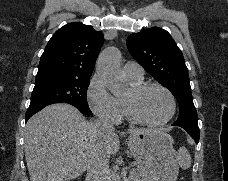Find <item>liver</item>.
I'll use <instances>...</instances> for the list:
<instances>
[{
    "mask_svg": "<svg viewBox=\"0 0 228 181\" xmlns=\"http://www.w3.org/2000/svg\"><path fill=\"white\" fill-rule=\"evenodd\" d=\"M92 123L67 103H56L33 115L25 127V159L30 181H73L86 171L89 157H106L120 147L117 133L89 135ZM164 129H129L130 135Z\"/></svg>",
    "mask_w": 228,
    "mask_h": 181,
    "instance_id": "6515ba94",
    "label": "liver"
}]
</instances>
